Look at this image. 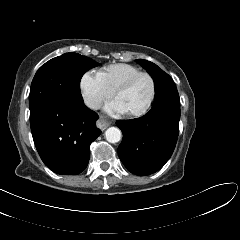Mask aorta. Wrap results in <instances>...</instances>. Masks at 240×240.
<instances>
[{
  "mask_svg": "<svg viewBox=\"0 0 240 240\" xmlns=\"http://www.w3.org/2000/svg\"><path fill=\"white\" fill-rule=\"evenodd\" d=\"M105 137L109 143H117L121 139V131L116 127H110L105 131Z\"/></svg>",
  "mask_w": 240,
  "mask_h": 240,
  "instance_id": "1",
  "label": "aorta"
}]
</instances>
